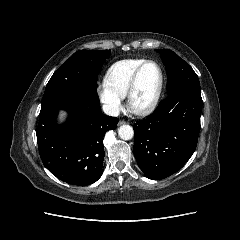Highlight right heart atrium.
Listing matches in <instances>:
<instances>
[{
    "instance_id": "d8ad5b80",
    "label": "right heart atrium",
    "mask_w": 240,
    "mask_h": 240,
    "mask_svg": "<svg viewBox=\"0 0 240 240\" xmlns=\"http://www.w3.org/2000/svg\"><path fill=\"white\" fill-rule=\"evenodd\" d=\"M97 93L100 101L109 114L115 115L119 112L122 106V99L120 96L111 91L105 84L98 87Z\"/></svg>"
}]
</instances>
